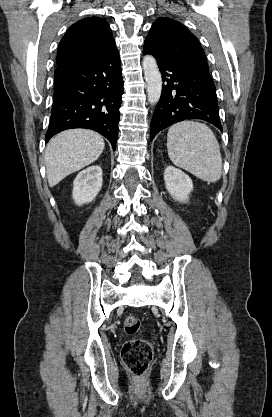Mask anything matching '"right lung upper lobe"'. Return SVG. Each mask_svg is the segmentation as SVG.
<instances>
[{
  "instance_id": "right-lung-upper-lobe-1",
  "label": "right lung upper lobe",
  "mask_w": 272,
  "mask_h": 417,
  "mask_svg": "<svg viewBox=\"0 0 272 417\" xmlns=\"http://www.w3.org/2000/svg\"><path fill=\"white\" fill-rule=\"evenodd\" d=\"M115 41L109 24L99 17L74 23L59 43L57 67L87 64L99 59Z\"/></svg>"
}]
</instances>
